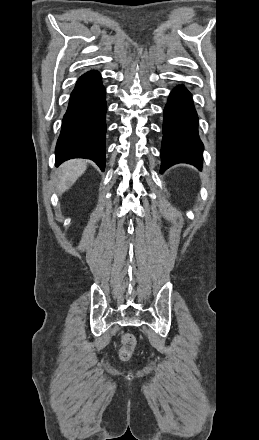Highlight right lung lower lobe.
Returning <instances> with one entry per match:
<instances>
[{
  "mask_svg": "<svg viewBox=\"0 0 259 440\" xmlns=\"http://www.w3.org/2000/svg\"><path fill=\"white\" fill-rule=\"evenodd\" d=\"M105 88L95 70L82 75L71 93L57 140L56 166L72 158L93 160L105 168Z\"/></svg>",
  "mask_w": 259,
  "mask_h": 440,
  "instance_id": "98d812e1",
  "label": "right lung lower lobe"
}]
</instances>
